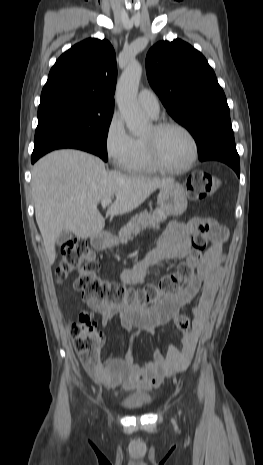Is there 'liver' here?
<instances>
[{
  "label": "liver",
  "mask_w": 263,
  "mask_h": 465,
  "mask_svg": "<svg viewBox=\"0 0 263 465\" xmlns=\"http://www.w3.org/2000/svg\"><path fill=\"white\" fill-rule=\"evenodd\" d=\"M174 182L107 171L101 159L82 151L47 154L33 167L31 187L49 264L55 261V243L62 231L87 238L103 230L105 220L97 209L103 199L116 197L107 216L123 215L139 207L155 190Z\"/></svg>",
  "instance_id": "liver-1"
}]
</instances>
